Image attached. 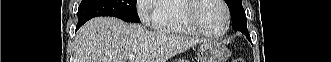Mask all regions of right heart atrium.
<instances>
[{
    "label": "right heart atrium",
    "mask_w": 331,
    "mask_h": 62,
    "mask_svg": "<svg viewBox=\"0 0 331 62\" xmlns=\"http://www.w3.org/2000/svg\"><path fill=\"white\" fill-rule=\"evenodd\" d=\"M162 0H138L137 8L140 19L145 24H155L154 12Z\"/></svg>",
    "instance_id": "d8ad5b80"
}]
</instances>
